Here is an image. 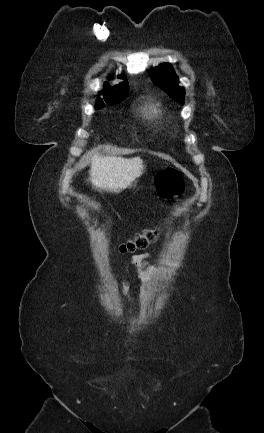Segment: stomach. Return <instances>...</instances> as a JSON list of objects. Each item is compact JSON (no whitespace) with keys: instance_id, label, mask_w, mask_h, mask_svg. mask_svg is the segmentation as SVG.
Listing matches in <instances>:
<instances>
[{"instance_id":"0dacf381","label":"stomach","mask_w":264,"mask_h":433,"mask_svg":"<svg viewBox=\"0 0 264 433\" xmlns=\"http://www.w3.org/2000/svg\"><path fill=\"white\" fill-rule=\"evenodd\" d=\"M137 183V180L133 181L127 188L135 187Z\"/></svg>"}]
</instances>
